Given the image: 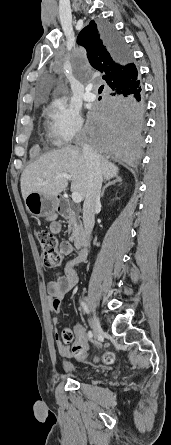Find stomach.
<instances>
[{
    "label": "stomach",
    "mask_w": 171,
    "mask_h": 445,
    "mask_svg": "<svg viewBox=\"0 0 171 445\" xmlns=\"http://www.w3.org/2000/svg\"><path fill=\"white\" fill-rule=\"evenodd\" d=\"M25 206L33 216L54 218L56 216L58 200L57 197L31 192L25 198Z\"/></svg>",
    "instance_id": "obj_1"
}]
</instances>
